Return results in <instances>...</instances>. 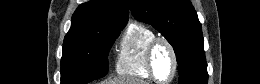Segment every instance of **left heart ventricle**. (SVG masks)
Here are the masks:
<instances>
[{
    "mask_svg": "<svg viewBox=\"0 0 260 84\" xmlns=\"http://www.w3.org/2000/svg\"><path fill=\"white\" fill-rule=\"evenodd\" d=\"M154 69L155 73L160 80H167L173 68L172 56L169 49L161 44L154 55Z\"/></svg>",
    "mask_w": 260,
    "mask_h": 84,
    "instance_id": "obj_1",
    "label": "left heart ventricle"
}]
</instances>
